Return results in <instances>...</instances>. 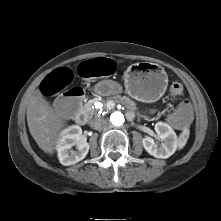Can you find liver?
<instances>
[{
	"label": "liver",
	"instance_id": "6515ba94",
	"mask_svg": "<svg viewBox=\"0 0 221 221\" xmlns=\"http://www.w3.org/2000/svg\"><path fill=\"white\" fill-rule=\"evenodd\" d=\"M26 113L31 136L40 149L53 154L65 121L39 91L30 97Z\"/></svg>",
	"mask_w": 221,
	"mask_h": 221
}]
</instances>
